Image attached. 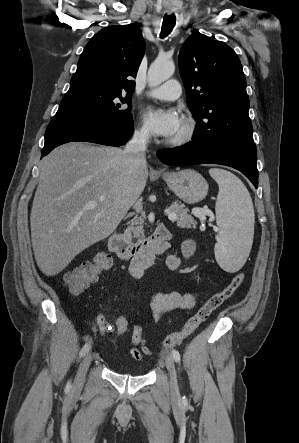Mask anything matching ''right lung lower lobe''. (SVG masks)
<instances>
[{
	"mask_svg": "<svg viewBox=\"0 0 299 443\" xmlns=\"http://www.w3.org/2000/svg\"><path fill=\"white\" fill-rule=\"evenodd\" d=\"M133 132L132 117L75 122L51 120L46 129L41 156H46L59 145L75 141L121 146L128 141Z\"/></svg>",
	"mask_w": 299,
	"mask_h": 443,
	"instance_id": "1",
	"label": "right lung lower lobe"
}]
</instances>
